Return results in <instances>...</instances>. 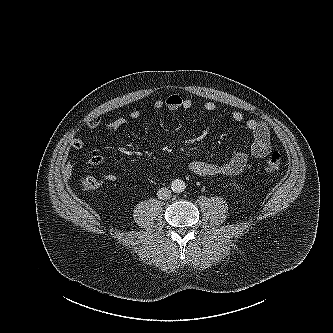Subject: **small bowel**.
Listing matches in <instances>:
<instances>
[{
    "label": "small bowel",
    "mask_w": 333,
    "mask_h": 333,
    "mask_svg": "<svg viewBox=\"0 0 333 333\" xmlns=\"http://www.w3.org/2000/svg\"><path fill=\"white\" fill-rule=\"evenodd\" d=\"M155 109L167 108L170 111L190 110L193 107L192 100L183 98L178 94L169 95L164 100H156L153 104ZM203 109L207 112H215L217 106L213 102H206ZM141 117L139 110H133L128 117L102 119L100 116L92 117L87 126L90 129L102 127L108 131H116L122 126L128 124L132 120ZM231 118L237 123H243L246 129L253 137L251 145L246 150H241L232 155V157L224 162H208L202 159H194L189 163V169L199 176H233L241 173L246 167L250 158H264L271 151L270 132L268 125L264 121L256 119H245L242 112L234 110L231 112ZM70 147L79 150L84 147V142L80 138H73L70 141ZM103 159L98 155H94L89 159V163L93 166L102 164ZM66 174L72 172V166L67 164L64 166ZM107 181H115L117 176L114 173H108L105 176Z\"/></svg>",
    "instance_id": "c3829d8e"
}]
</instances>
